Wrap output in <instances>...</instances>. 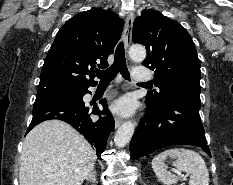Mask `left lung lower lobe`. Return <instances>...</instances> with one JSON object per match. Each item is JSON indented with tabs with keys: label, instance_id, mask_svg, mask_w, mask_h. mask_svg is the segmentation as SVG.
Wrapping results in <instances>:
<instances>
[{
	"label": "left lung lower lobe",
	"instance_id": "1",
	"mask_svg": "<svg viewBox=\"0 0 233 185\" xmlns=\"http://www.w3.org/2000/svg\"><path fill=\"white\" fill-rule=\"evenodd\" d=\"M200 103V90L183 89L160 108L147 105L145 117L130 143L131 157L175 144L195 145L211 156L199 115Z\"/></svg>",
	"mask_w": 233,
	"mask_h": 185
}]
</instances>
